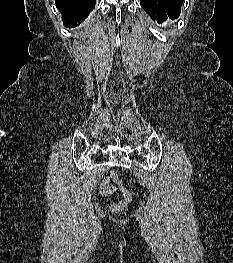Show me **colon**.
<instances>
[{"instance_id": "colon-1", "label": "colon", "mask_w": 233, "mask_h": 263, "mask_svg": "<svg viewBox=\"0 0 233 263\" xmlns=\"http://www.w3.org/2000/svg\"><path fill=\"white\" fill-rule=\"evenodd\" d=\"M112 177L114 180H118V172L113 171L112 172ZM121 193L123 195V200L120 202H117L111 206L112 211L118 212L123 210L132 200V194L125 189L124 187L120 186Z\"/></svg>"}]
</instances>
